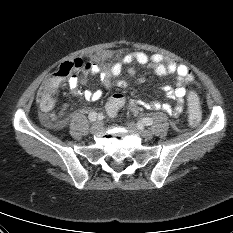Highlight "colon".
Wrapping results in <instances>:
<instances>
[{
    "mask_svg": "<svg viewBox=\"0 0 233 233\" xmlns=\"http://www.w3.org/2000/svg\"><path fill=\"white\" fill-rule=\"evenodd\" d=\"M90 66L89 63H85L79 58L61 64L58 70L46 79L38 91L37 103L40 109L42 111H48L52 108L54 104V96L61 80L68 76L75 75L76 73L88 70ZM187 99L189 105V123L191 126H196L201 119L197 94L191 91L189 92ZM124 102L125 98L122 94H114L107 103L106 109L109 116H114Z\"/></svg>",
    "mask_w": 233,
    "mask_h": 233,
    "instance_id": "1",
    "label": "colon"
}]
</instances>
